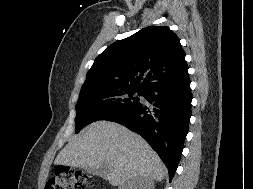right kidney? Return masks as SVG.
Instances as JSON below:
<instances>
[{"label": "right kidney", "mask_w": 253, "mask_h": 189, "mask_svg": "<svg viewBox=\"0 0 253 189\" xmlns=\"http://www.w3.org/2000/svg\"><path fill=\"white\" fill-rule=\"evenodd\" d=\"M119 189H154V182L148 177H136L122 184Z\"/></svg>", "instance_id": "right-kidney-1"}]
</instances>
